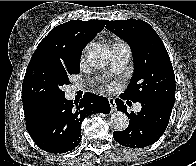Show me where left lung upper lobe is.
<instances>
[{
	"mask_svg": "<svg viewBox=\"0 0 196 166\" xmlns=\"http://www.w3.org/2000/svg\"><path fill=\"white\" fill-rule=\"evenodd\" d=\"M106 28L124 39L133 53L135 73L121 96L133 102L153 99L174 106L175 75L155 30L147 22L135 19L109 21Z\"/></svg>",
	"mask_w": 196,
	"mask_h": 166,
	"instance_id": "1",
	"label": "left lung upper lobe"
}]
</instances>
